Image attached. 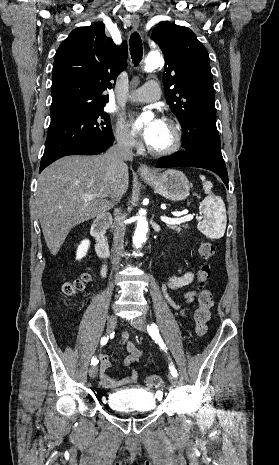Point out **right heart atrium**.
I'll list each match as a JSON object with an SVG mask.
<instances>
[{
    "label": "right heart atrium",
    "mask_w": 279,
    "mask_h": 465,
    "mask_svg": "<svg viewBox=\"0 0 279 465\" xmlns=\"http://www.w3.org/2000/svg\"><path fill=\"white\" fill-rule=\"evenodd\" d=\"M114 137L119 147L125 150L135 149L138 145L136 139L127 130L122 122H118L115 130Z\"/></svg>",
    "instance_id": "obj_1"
}]
</instances>
